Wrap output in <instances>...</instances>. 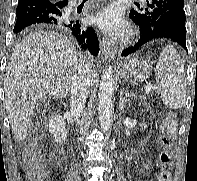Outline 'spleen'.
Segmentation results:
<instances>
[{
  "instance_id": "1",
  "label": "spleen",
  "mask_w": 197,
  "mask_h": 181,
  "mask_svg": "<svg viewBox=\"0 0 197 181\" xmlns=\"http://www.w3.org/2000/svg\"><path fill=\"white\" fill-rule=\"evenodd\" d=\"M155 77L158 93L171 109H180L186 101V78L184 64L176 49L167 45L158 59Z\"/></svg>"
}]
</instances>
